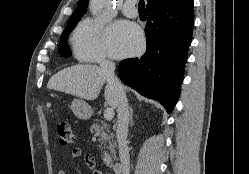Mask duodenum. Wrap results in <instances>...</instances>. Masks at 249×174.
Returning <instances> with one entry per match:
<instances>
[{
  "label": "duodenum",
  "instance_id": "1",
  "mask_svg": "<svg viewBox=\"0 0 249 174\" xmlns=\"http://www.w3.org/2000/svg\"><path fill=\"white\" fill-rule=\"evenodd\" d=\"M112 170L114 174H122V166L118 163L112 165Z\"/></svg>",
  "mask_w": 249,
  "mask_h": 174
}]
</instances>
